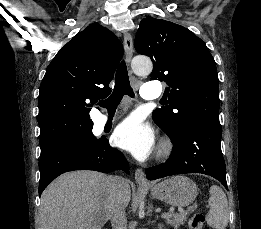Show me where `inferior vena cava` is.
I'll list each match as a JSON object with an SVG mask.
<instances>
[{
  "mask_svg": "<svg viewBox=\"0 0 261 229\" xmlns=\"http://www.w3.org/2000/svg\"><path fill=\"white\" fill-rule=\"evenodd\" d=\"M126 183L123 177H110L108 179V193H110L111 203V227L112 229H126L127 217L125 215L124 207L120 205V197L122 189H124Z\"/></svg>",
  "mask_w": 261,
  "mask_h": 229,
  "instance_id": "obj_1",
  "label": "inferior vena cava"
}]
</instances>
